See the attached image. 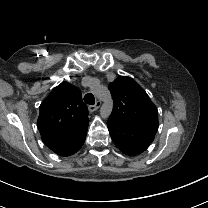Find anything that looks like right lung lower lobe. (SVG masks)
<instances>
[{
    "label": "right lung lower lobe",
    "instance_id": "1",
    "mask_svg": "<svg viewBox=\"0 0 208 208\" xmlns=\"http://www.w3.org/2000/svg\"><path fill=\"white\" fill-rule=\"evenodd\" d=\"M88 125L67 138L45 143L53 152L60 156H70L76 153L84 144Z\"/></svg>",
    "mask_w": 208,
    "mask_h": 208
}]
</instances>
